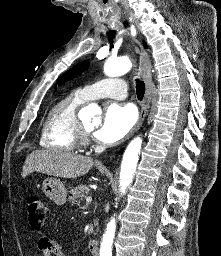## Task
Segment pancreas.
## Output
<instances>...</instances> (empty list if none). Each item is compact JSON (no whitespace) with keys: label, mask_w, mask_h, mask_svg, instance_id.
<instances>
[{"label":"pancreas","mask_w":221,"mask_h":256,"mask_svg":"<svg viewBox=\"0 0 221 256\" xmlns=\"http://www.w3.org/2000/svg\"><path fill=\"white\" fill-rule=\"evenodd\" d=\"M90 190L88 187L84 185H79L71 190V196L69 197V201L72 202V205L78 204L84 200V198L89 194Z\"/></svg>","instance_id":"1"}]
</instances>
